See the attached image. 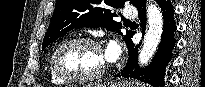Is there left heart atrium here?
Wrapping results in <instances>:
<instances>
[{"mask_svg":"<svg viewBox=\"0 0 205 87\" xmlns=\"http://www.w3.org/2000/svg\"><path fill=\"white\" fill-rule=\"evenodd\" d=\"M118 53H119V49L116 44H112L109 46L108 51H107V56L110 60L116 59V57L118 56Z\"/></svg>","mask_w":205,"mask_h":87,"instance_id":"left-heart-atrium-1","label":"left heart atrium"}]
</instances>
